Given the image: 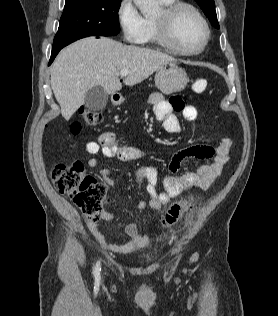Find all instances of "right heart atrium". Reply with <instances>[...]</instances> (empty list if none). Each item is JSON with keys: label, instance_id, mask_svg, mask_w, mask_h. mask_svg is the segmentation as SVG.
Wrapping results in <instances>:
<instances>
[{"label": "right heart atrium", "instance_id": "right-heart-atrium-1", "mask_svg": "<svg viewBox=\"0 0 278 316\" xmlns=\"http://www.w3.org/2000/svg\"><path fill=\"white\" fill-rule=\"evenodd\" d=\"M117 21L125 41L140 42L144 33L145 18L140 14L133 0H120Z\"/></svg>", "mask_w": 278, "mask_h": 316}]
</instances>
